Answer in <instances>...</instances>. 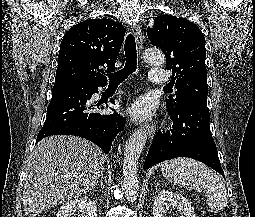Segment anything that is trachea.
Masks as SVG:
<instances>
[{"mask_svg": "<svg viewBox=\"0 0 255 217\" xmlns=\"http://www.w3.org/2000/svg\"><path fill=\"white\" fill-rule=\"evenodd\" d=\"M124 49L126 57V63L124 68L115 73L107 75L111 85H119L137 69V51L135 37L133 36V34H128V36L126 37Z\"/></svg>", "mask_w": 255, "mask_h": 217, "instance_id": "1", "label": "trachea"}]
</instances>
